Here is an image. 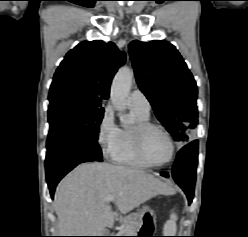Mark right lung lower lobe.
<instances>
[{
  "instance_id": "right-lung-lower-lobe-1",
  "label": "right lung lower lobe",
  "mask_w": 248,
  "mask_h": 237,
  "mask_svg": "<svg viewBox=\"0 0 248 237\" xmlns=\"http://www.w3.org/2000/svg\"><path fill=\"white\" fill-rule=\"evenodd\" d=\"M95 160L102 161L97 141L64 135L48 136L45 169L51 197L58 182L69 171L80 163Z\"/></svg>"
}]
</instances>
